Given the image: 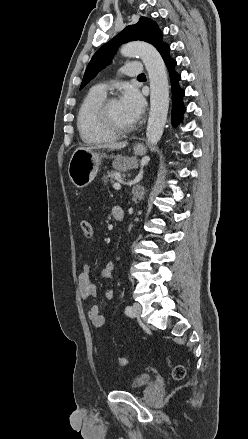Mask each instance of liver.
Segmentation results:
<instances>
[{
  "label": "liver",
  "mask_w": 248,
  "mask_h": 439,
  "mask_svg": "<svg viewBox=\"0 0 248 439\" xmlns=\"http://www.w3.org/2000/svg\"><path fill=\"white\" fill-rule=\"evenodd\" d=\"M127 142L123 141V142H115V143H107L104 145H98V146H92V147H79L76 150L79 149H83V150H94V149H103V148H108V149H123L124 147L127 146Z\"/></svg>",
  "instance_id": "6515ba94"
}]
</instances>
